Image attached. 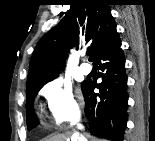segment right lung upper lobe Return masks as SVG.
I'll return each instance as SVG.
<instances>
[{
	"mask_svg": "<svg viewBox=\"0 0 155 141\" xmlns=\"http://www.w3.org/2000/svg\"><path fill=\"white\" fill-rule=\"evenodd\" d=\"M116 32L106 0H74L63 19L37 43L27 77V88L57 75V70L79 44H89L93 60L100 47Z\"/></svg>",
	"mask_w": 155,
	"mask_h": 141,
	"instance_id": "1",
	"label": "right lung upper lobe"
}]
</instances>
